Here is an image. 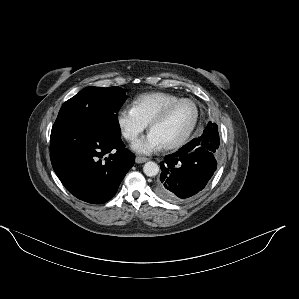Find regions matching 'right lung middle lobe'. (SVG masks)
I'll return each instance as SVG.
<instances>
[{"mask_svg": "<svg viewBox=\"0 0 299 299\" xmlns=\"http://www.w3.org/2000/svg\"><path fill=\"white\" fill-rule=\"evenodd\" d=\"M120 87H87L66 101L52 127L51 138L74 130L121 136L117 112L126 100Z\"/></svg>", "mask_w": 299, "mask_h": 299, "instance_id": "1", "label": "right lung middle lobe"}]
</instances>
